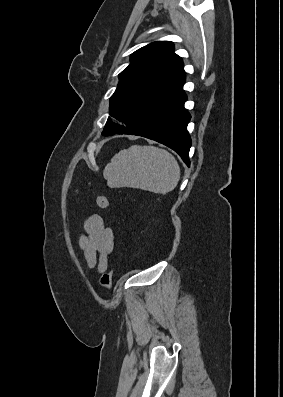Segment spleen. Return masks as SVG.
<instances>
[{"mask_svg":"<svg viewBox=\"0 0 283 397\" xmlns=\"http://www.w3.org/2000/svg\"><path fill=\"white\" fill-rule=\"evenodd\" d=\"M180 167L167 150L133 145L119 151L106 165L103 176L111 188L130 187L167 194L180 180Z\"/></svg>","mask_w":283,"mask_h":397,"instance_id":"obj_1","label":"spleen"}]
</instances>
